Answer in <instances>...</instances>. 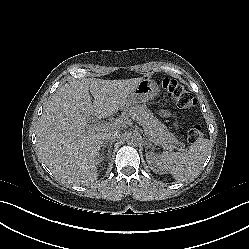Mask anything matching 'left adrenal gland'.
<instances>
[{
  "label": "left adrenal gland",
  "instance_id": "obj_1",
  "mask_svg": "<svg viewBox=\"0 0 249 249\" xmlns=\"http://www.w3.org/2000/svg\"><path fill=\"white\" fill-rule=\"evenodd\" d=\"M151 146V143L149 142V147Z\"/></svg>",
  "mask_w": 249,
  "mask_h": 249
}]
</instances>
